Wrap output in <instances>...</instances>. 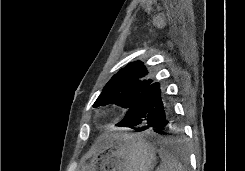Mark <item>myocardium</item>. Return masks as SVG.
<instances>
[{"label": "myocardium", "instance_id": "myocardium-1", "mask_svg": "<svg viewBox=\"0 0 245 171\" xmlns=\"http://www.w3.org/2000/svg\"><path fill=\"white\" fill-rule=\"evenodd\" d=\"M107 113H108V111H104V112H103L104 115L107 114Z\"/></svg>", "mask_w": 245, "mask_h": 171}]
</instances>
